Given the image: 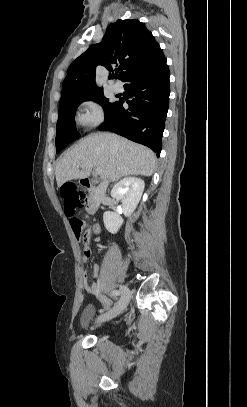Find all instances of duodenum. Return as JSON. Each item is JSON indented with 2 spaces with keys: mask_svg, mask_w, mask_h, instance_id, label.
<instances>
[{
  "mask_svg": "<svg viewBox=\"0 0 247 407\" xmlns=\"http://www.w3.org/2000/svg\"><path fill=\"white\" fill-rule=\"evenodd\" d=\"M80 184L87 190L90 196V200L86 208V214L88 216H93L100 210L104 199V194L98 190L95 181L92 179L84 177L80 180Z\"/></svg>",
  "mask_w": 247,
  "mask_h": 407,
  "instance_id": "1",
  "label": "duodenum"
}]
</instances>
